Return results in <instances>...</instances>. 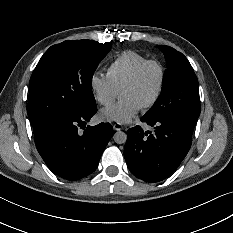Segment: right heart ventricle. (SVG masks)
Masks as SVG:
<instances>
[{
	"label": "right heart ventricle",
	"instance_id": "1",
	"mask_svg": "<svg viewBox=\"0 0 233 233\" xmlns=\"http://www.w3.org/2000/svg\"><path fill=\"white\" fill-rule=\"evenodd\" d=\"M147 58L132 50L123 51L115 56L107 65L106 77L116 89L134 72V70Z\"/></svg>",
	"mask_w": 233,
	"mask_h": 233
}]
</instances>
